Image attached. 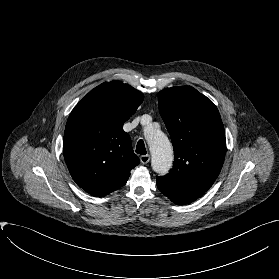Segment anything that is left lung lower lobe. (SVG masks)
<instances>
[{
    "mask_svg": "<svg viewBox=\"0 0 279 279\" xmlns=\"http://www.w3.org/2000/svg\"><path fill=\"white\" fill-rule=\"evenodd\" d=\"M158 189L168 197L172 202L179 205H185L195 201L197 198L186 194L179 193L164 184L157 183Z\"/></svg>",
    "mask_w": 279,
    "mask_h": 279,
    "instance_id": "1",
    "label": "left lung lower lobe"
}]
</instances>
